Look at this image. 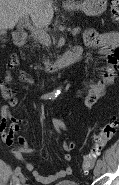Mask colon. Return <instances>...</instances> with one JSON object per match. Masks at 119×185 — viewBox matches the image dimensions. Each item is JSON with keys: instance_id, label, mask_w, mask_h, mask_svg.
I'll use <instances>...</instances> for the list:
<instances>
[{"instance_id": "1", "label": "colon", "mask_w": 119, "mask_h": 185, "mask_svg": "<svg viewBox=\"0 0 119 185\" xmlns=\"http://www.w3.org/2000/svg\"><path fill=\"white\" fill-rule=\"evenodd\" d=\"M110 10L114 20L119 19V0H110ZM117 131L116 117H112L100 130L95 139V144L89 154L84 157L82 170L88 173L94 166L106 145L113 139Z\"/></svg>"}]
</instances>
